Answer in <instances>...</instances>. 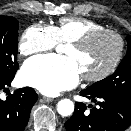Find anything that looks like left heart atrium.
<instances>
[{"mask_svg":"<svg viewBox=\"0 0 131 131\" xmlns=\"http://www.w3.org/2000/svg\"><path fill=\"white\" fill-rule=\"evenodd\" d=\"M79 77L80 70L75 60L57 55L33 57L21 70L22 81L46 95H56L74 87Z\"/></svg>","mask_w":131,"mask_h":131,"instance_id":"obj_1","label":"left heart atrium"}]
</instances>
